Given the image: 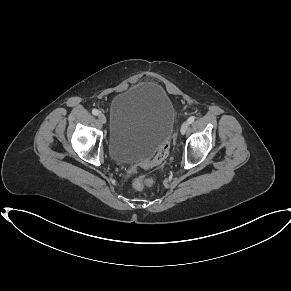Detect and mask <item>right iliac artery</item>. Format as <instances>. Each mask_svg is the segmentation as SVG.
I'll list each match as a JSON object with an SVG mask.
<instances>
[{"label": "right iliac artery", "mask_w": 291, "mask_h": 291, "mask_svg": "<svg viewBox=\"0 0 291 291\" xmlns=\"http://www.w3.org/2000/svg\"><path fill=\"white\" fill-rule=\"evenodd\" d=\"M92 114L95 115V116H97L99 114V111L97 109H93L92 110Z\"/></svg>", "instance_id": "82829eb1"}]
</instances>
